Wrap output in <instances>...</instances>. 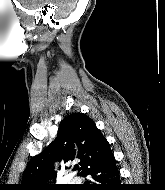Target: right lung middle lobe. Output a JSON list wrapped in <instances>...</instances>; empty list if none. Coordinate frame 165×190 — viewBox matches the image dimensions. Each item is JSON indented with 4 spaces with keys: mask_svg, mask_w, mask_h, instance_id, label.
<instances>
[{
    "mask_svg": "<svg viewBox=\"0 0 165 190\" xmlns=\"http://www.w3.org/2000/svg\"><path fill=\"white\" fill-rule=\"evenodd\" d=\"M66 188L62 187V188H58V189H44V190H64Z\"/></svg>",
    "mask_w": 165,
    "mask_h": 190,
    "instance_id": "dd1d6c3e",
    "label": "right lung middle lobe"
}]
</instances>
